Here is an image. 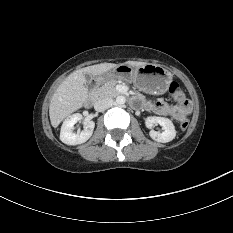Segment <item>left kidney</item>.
Returning a JSON list of instances; mask_svg holds the SVG:
<instances>
[{
  "label": "left kidney",
  "instance_id": "5707ae66",
  "mask_svg": "<svg viewBox=\"0 0 233 233\" xmlns=\"http://www.w3.org/2000/svg\"><path fill=\"white\" fill-rule=\"evenodd\" d=\"M145 124L149 129H152L155 124L162 126V129L164 130L162 133L155 130H151L149 133L150 137L157 142L167 143L172 141L176 136L175 126L168 118L150 116L146 118Z\"/></svg>",
  "mask_w": 233,
  "mask_h": 233
}]
</instances>
